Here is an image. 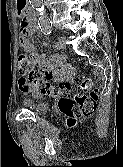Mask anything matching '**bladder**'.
<instances>
[{"instance_id": "obj_1", "label": "bladder", "mask_w": 123, "mask_h": 167, "mask_svg": "<svg viewBox=\"0 0 123 167\" xmlns=\"http://www.w3.org/2000/svg\"><path fill=\"white\" fill-rule=\"evenodd\" d=\"M24 103L27 104L37 114H44L48 109L46 104L42 102L26 99L24 100Z\"/></svg>"}]
</instances>
